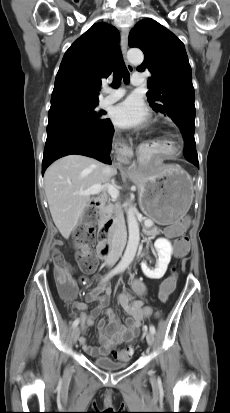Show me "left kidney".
I'll return each mask as SVG.
<instances>
[{
    "mask_svg": "<svg viewBox=\"0 0 230 413\" xmlns=\"http://www.w3.org/2000/svg\"><path fill=\"white\" fill-rule=\"evenodd\" d=\"M154 247L158 255L156 268L151 270L147 267L146 262L143 261L141 263V269L146 277L160 279L164 276L167 270L173 249L170 241L165 238H158L154 243Z\"/></svg>",
    "mask_w": 230,
    "mask_h": 413,
    "instance_id": "5707ae66",
    "label": "left kidney"
}]
</instances>
